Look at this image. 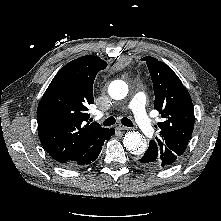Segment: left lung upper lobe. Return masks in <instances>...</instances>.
<instances>
[{
    "mask_svg": "<svg viewBox=\"0 0 221 221\" xmlns=\"http://www.w3.org/2000/svg\"><path fill=\"white\" fill-rule=\"evenodd\" d=\"M155 94L154 107L161 114L159 137L149 146H156L165 164H174L186 150L194 128V109L191 97L179 77L165 63L146 56Z\"/></svg>",
    "mask_w": 221,
    "mask_h": 221,
    "instance_id": "1",
    "label": "left lung upper lobe"
}]
</instances>
